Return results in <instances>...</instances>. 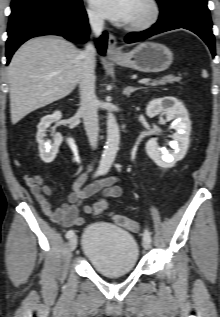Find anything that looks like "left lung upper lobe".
Wrapping results in <instances>:
<instances>
[{"label":"left lung upper lobe","mask_w":220,"mask_h":317,"mask_svg":"<svg viewBox=\"0 0 220 317\" xmlns=\"http://www.w3.org/2000/svg\"><path fill=\"white\" fill-rule=\"evenodd\" d=\"M157 1H158V3L161 6V5H164V4L168 3V2H170L171 0H157Z\"/></svg>","instance_id":"obj_1"}]
</instances>
